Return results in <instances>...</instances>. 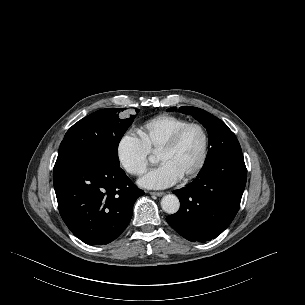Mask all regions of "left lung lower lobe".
Returning a JSON list of instances; mask_svg holds the SVG:
<instances>
[{
    "label": "left lung lower lobe",
    "mask_w": 305,
    "mask_h": 305,
    "mask_svg": "<svg viewBox=\"0 0 305 305\" xmlns=\"http://www.w3.org/2000/svg\"><path fill=\"white\" fill-rule=\"evenodd\" d=\"M242 152L231 153L207 168L185 188L174 191L180 200L169 225L190 241L206 242L220 235L232 222L246 185Z\"/></svg>",
    "instance_id": "1"
}]
</instances>
